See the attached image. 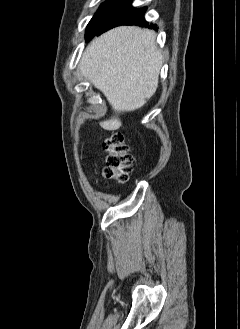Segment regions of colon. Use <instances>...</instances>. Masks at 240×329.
I'll return each mask as SVG.
<instances>
[{
  "label": "colon",
  "mask_w": 240,
  "mask_h": 329,
  "mask_svg": "<svg viewBox=\"0 0 240 329\" xmlns=\"http://www.w3.org/2000/svg\"><path fill=\"white\" fill-rule=\"evenodd\" d=\"M104 149L108 152L104 178L124 183L129 180L132 171L133 157L120 132L112 133L104 141Z\"/></svg>",
  "instance_id": "5ec220e1"
}]
</instances>
